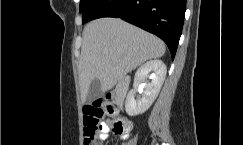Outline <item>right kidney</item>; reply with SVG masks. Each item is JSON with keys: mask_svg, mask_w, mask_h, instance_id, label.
I'll list each match as a JSON object with an SVG mask.
<instances>
[{"mask_svg": "<svg viewBox=\"0 0 243 145\" xmlns=\"http://www.w3.org/2000/svg\"><path fill=\"white\" fill-rule=\"evenodd\" d=\"M166 72V65L158 59L150 60L139 67L135 73L133 89L128 93L125 102L129 116L142 114L149 109L160 92ZM138 90H142L143 94L135 99Z\"/></svg>", "mask_w": 243, "mask_h": 145, "instance_id": "1", "label": "right kidney"}]
</instances>
